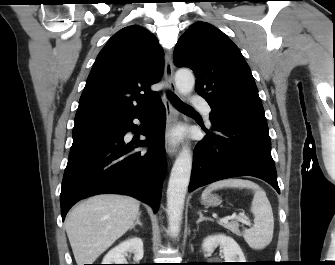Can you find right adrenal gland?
I'll use <instances>...</instances> for the list:
<instances>
[{"label":"right adrenal gland","mask_w":335,"mask_h":265,"mask_svg":"<svg viewBox=\"0 0 335 265\" xmlns=\"http://www.w3.org/2000/svg\"><path fill=\"white\" fill-rule=\"evenodd\" d=\"M136 225H139V226L142 227V223L140 222V214L137 216L135 223L131 226L130 229H131V230H132V229H135V226H136Z\"/></svg>","instance_id":"2a0ac1e0"}]
</instances>
